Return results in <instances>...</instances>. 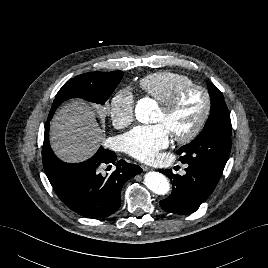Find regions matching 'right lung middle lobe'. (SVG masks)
<instances>
[{
	"label": "right lung middle lobe",
	"mask_w": 268,
	"mask_h": 268,
	"mask_svg": "<svg viewBox=\"0 0 268 268\" xmlns=\"http://www.w3.org/2000/svg\"><path fill=\"white\" fill-rule=\"evenodd\" d=\"M93 74H100V73L96 72V73H93ZM122 76H123V73L120 74L116 78H107V77L101 78V80H102L101 90L96 94L82 96V98L87 100V101H90V102H95V103L104 105L105 101L108 100L109 96L113 93V91L115 90L116 86L118 85V83L122 79ZM69 81L68 82L70 83V85L68 86L67 91H68V89H72V87L74 86L75 78H73V79H71ZM64 94H65V92H63L62 95H64ZM57 97H58V93H57V95L55 97V100H54L53 104L57 100ZM62 163H64V162H62ZM43 166H44V170L46 172V175H47L51 185L53 186L55 192L56 193L60 192L62 190L64 184H65V178H64V176L62 174V171L52 169L49 166H47L45 163H43Z\"/></svg>",
	"instance_id": "obj_1"
}]
</instances>
